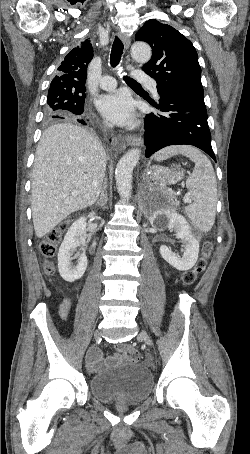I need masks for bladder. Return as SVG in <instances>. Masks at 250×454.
Here are the masks:
<instances>
[{"label": "bladder", "instance_id": "31cf9c89", "mask_svg": "<svg viewBox=\"0 0 250 454\" xmlns=\"http://www.w3.org/2000/svg\"><path fill=\"white\" fill-rule=\"evenodd\" d=\"M88 388L97 400L106 404L141 403L153 391V377L145 366L121 361L115 368L92 375Z\"/></svg>", "mask_w": 250, "mask_h": 454}]
</instances>
